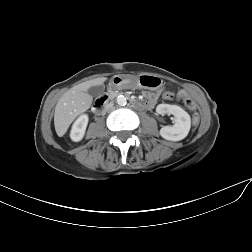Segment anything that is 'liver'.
Returning a JSON list of instances; mask_svg holds the SVG:
<instances>
[{
  "label": "liver",
  "instance_id": "1",
  "mask_svg": "<svg viewBox=\"0 0 252 252\" xmlns=\"http://www.w3.org/2000/svg\"><path fill=\"white\" fill-rule=\"evenodd\" d=\"M105 81L104 77L86 81L64 93L55 107L54 114V125L58 136H63L74 119L90 108L93 99L88 94V89L101 85Z\"/></svg>",
  "mask_w": 252,
  "mask_h": 252
}]
</instances>
